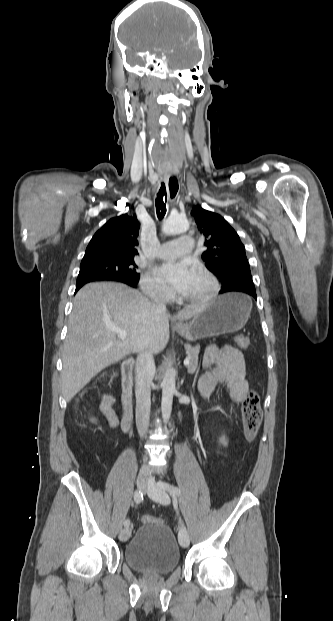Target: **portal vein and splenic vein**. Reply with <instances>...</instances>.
I'll return each instance as SVG.
<instances>
[{"label": "portal vein and splenic vein", "mask_w": 333, "mask_h": 621, "mask_svg": "<svg viewBox=\"0 0 333 621\" xmlns=\"http://www.w3.org/2000/svg\"><path fill=\"white\" fill-rule=\"evenodd\" d=\"M111 330L116 332L120 339L127 338V333L124 330H122L120 328H116V327H112ZM189 363H190L189 358H185L184 365L187 366V365H189Z\"/></svg>", "instance_id": "obj_1"}]
</instances>
